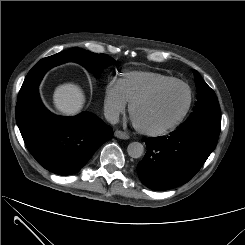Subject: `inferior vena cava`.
<instances>
[{"instance_id":"inferior-vena-cava-1","label":"inferior vena cava","mask_w":245,"mask_h":245,"mask_svg":"<svg viewBox=\"0 0 245 245\" xmlns=\"http://www.w3.org/2000/svg\"><path fill=\"white\" fill-rule=\"evenodd\" d=\"M105 118L108 122L111 124H117L119 121V112L115 110H106L105 113Z\"/></svg>"}]
</instances>
